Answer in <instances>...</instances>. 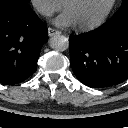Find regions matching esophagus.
Returning <instances> with one entry per match:
<instances>
[{
  "mask_svg": "<svg viewBox=\"0 0 128 128\" xmlns=\"http://www.w3.org/2000/svg\"><path fill=\"white\" fill-rule=\"evenodd\" d=\"M58 34H61V32L59 30H56L52 27H48V35L51 37V36H54V35H58Z\"/></svg>",
  "mask_w": 128,
  "mask_h": 128,
  "instance_id": "1",
  "label": "esophagus"
}]
</instances>
